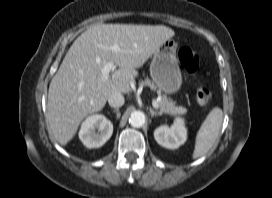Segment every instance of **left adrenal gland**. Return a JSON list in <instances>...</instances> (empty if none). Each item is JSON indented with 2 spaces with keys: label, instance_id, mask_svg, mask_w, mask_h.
<instances>
[{
  "label": "left adrenal gland",
  "instance_id": "1",
  "mask_svg": "<svg viewBox=\"0 0 272 198\" xmlns=\"http://www.w3.org/2000/svg\"><path fill=\"white\" fill-rule=\"evenodd\" d=\"M151 117L161 116L162 112L154 111L152 108H150Z\"/></svg>",
  "mask_w": 272,
  "mask_h": 198
}]
</instances>
